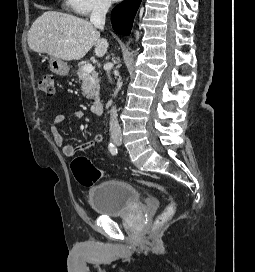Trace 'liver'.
<instances>
[{
	"label": "liver",
	"instance_id": "liver-1",
	"mask_svg": "<svg viewBox=\"0 0 255 272\" xmlns=\"http://www.w3.org/2000/svg\"><path fill=\"white\" fill-rule=\"evenodd\" d=\"M28 45L34 52L66 61L83 58L93 46L96 56L102 57L108 48L91 22L57 11H46L34 21Z\"/></svg>",
	"mask_w": 255,
	"mask_h": 272
}]
</instances>
